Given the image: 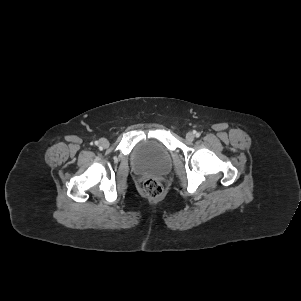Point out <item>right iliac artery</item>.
Wrapping results in <instances>:
<instances>
[{"label":"right iliac artery","instance_id":"82829eb1","mask_svg":"<svg viewBox=\"0 0 301 301\" xmlns=\"http://www.w3.org/2000/svg\"><path fill=\"white\" fill-rule=\"evenodd\" d=\"M95 144H96V145H98V144H99V142H98V141H96V142H95Z\"/></svg>","mask_w":301,"mask_h":301}]
</instances>
